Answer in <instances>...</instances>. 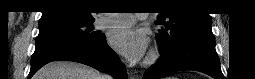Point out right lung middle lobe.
Returning a JSON list of instances; mask_svg holds the SVG:
<instances>
[{
	"label": "right lung middle lobe",
	"mask_w": 255,
	"mask_h": 79,
	"mask_svg": "<svg viewBox=\"0 0 255 79\" xmlns=\"http://www.w3.org/2000/svg\"><path fill=\"white\" fill-rule=\"evenodd\" d=\"M92 21H85L72 16L48 18L39 21V34L36 43L63 39L74 42H90L99 38L96 32H91Z\"/></svg>",
	"instance_id": "obj_1"
}]
</instances>
